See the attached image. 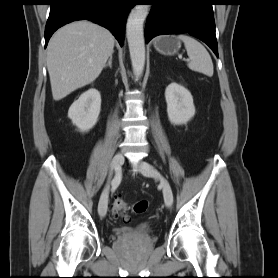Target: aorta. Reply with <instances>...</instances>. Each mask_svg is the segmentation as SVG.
Segmentation results:
<instances>
[{"label": "aorta", "mask_w": 278, "mask_h": 278, "mask_svg": "<svg viewBox=\"0 0 278 278\" xmlns=\"http://www.w3.org/2000/svg\"><path fill=\"white\" fill-rule=\"evenodd\" d=\"M149 5H135L131 10L127 25L126 37L134 75L141 76L145 65V44L143 24L149 12Z\"/></svg>", "instance_id": "aorta-1"}]
</instances>
